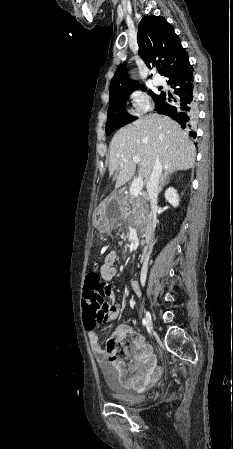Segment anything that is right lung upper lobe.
Masks as SVG:
<instances>
[{
	"label": "right lung upper lobe",
	"instance_id": "right-lung-upper-lobe-1",
	"mask_svg": "<svg viewBox=\"0 0 233 449\" xmlns=\"http://www.w3.org/2000/svg\"><path fill=\"white\" fill-rule=\"evenodd\" d=\"M137 42L139 54L147 66L162 65V74L166 77L181 69L188 62V53L181 45L180 38L165 18L146 16L138 27ZM137 82L126 76V64L122 63L116 70L109 87L110 98L119 94L141 88Z\"/></svg>",
	"mask_w": 233,
	"mask_h": 449
}]
</instances>
